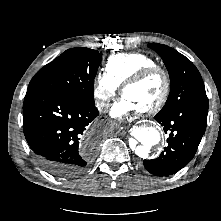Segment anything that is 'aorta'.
Segmentation results:
<instances>
[{
  "instance_id": "obj_1",
  "label": "aorta",
  "mask_w": 221,
  "mask_h": 221,
  "mask_svg": "<svg viewBox=\"0 0 221 221\" xmlns=\"http://www.w3.org/2000/svg\"><path fill=\"white\" fill-rule=\"evenodd\" d=\"M134 137L141 143V145H133L135 153L139 157H146L149 149L160 142V133L157 129L148 126L137 127L134 131Z\"/></svg>"
}]
</instances>
